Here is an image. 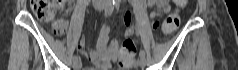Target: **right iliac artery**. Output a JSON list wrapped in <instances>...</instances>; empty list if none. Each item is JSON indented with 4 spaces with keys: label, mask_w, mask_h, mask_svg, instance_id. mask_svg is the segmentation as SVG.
<instances>
[{
    "label": "right iliac artery",
    "mask_w": 238,
    "mask_h": 70,
    "mask_svg": "<svg viewBox=\"0 0 238 70\" xmlns=\"http://www.w3.org/2000/svg\"><path fill=\"white\" fill-rule=\"evenodd\" d=\"M114 4L115 1L114 0H108L105 6V16L108 17L112 14L113 10H114ZM79 57L77 55L73 56V61L74 60H78Z\"/></svg>",
    "instance_id": "1"
}]
</instances>
